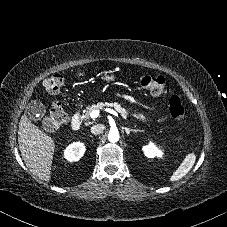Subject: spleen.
<instances>
[{"label":"spleen","mask_w":227,"mask_h":227,"mask_svg":"<svg viewBox=\"0 0 227 227\" xmlns=\"http://www.w3.org/2000/svg\"><path fill=\"white\" fill-rule=\"evenodd\" d=\"M196 161V155L189 153L185 156L179 167L173 172L170 182H175L182 179L191 170Z\"/></svg>","instance_id":"obj_1"}]
</instances>
